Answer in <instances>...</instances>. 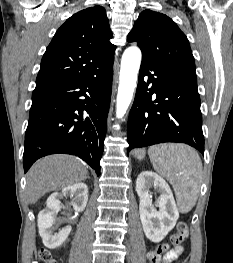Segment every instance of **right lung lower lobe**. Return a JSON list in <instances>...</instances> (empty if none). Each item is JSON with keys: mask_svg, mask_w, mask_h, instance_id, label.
<instances>
[{"mask_svg": "<svg viewBox=\"0 0 233 263\" xmlns=\"http://www.w3.org/2000/svg\"><path fill=\"white\" fill-rule=\"evenodd\" d=\"M113 78V61L76 81L37 88L25 133L24 171L42 156L80 157L100 175Z\"/></svg>", "mask_w": 233, "mask_h": 263, "instance_id": "98d812e1", "label": "right lung lower lobe"}]
</instances>
